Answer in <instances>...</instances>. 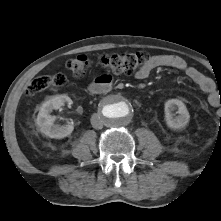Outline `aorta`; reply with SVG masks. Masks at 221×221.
Returning <instances> with one entry per match:
<instances>
[{"label": "aorta", "mask_w": 221, "mask_h": 221, "mask_svg": "<svg viewBox=\"0 0 221 221\" xmlns=\"http://www.w3.org/2000/svg\"><path fill=\"white\" fill-rule=\"evenodd\" d=\"M133 115V106L125 97L115 95L106 99L101 116L106 125L120 127L128 124Z\"/></svg>", "instance_id": "762f6f07"}]
</instances>
